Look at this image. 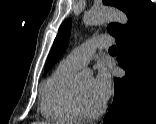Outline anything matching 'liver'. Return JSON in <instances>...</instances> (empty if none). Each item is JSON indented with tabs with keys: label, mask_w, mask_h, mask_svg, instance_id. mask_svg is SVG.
<instances>
[{
	"label": "liver",
	"mask_w": 156,
	"mask_h": 124,
	"mask_svg": "<svg viewBox=\"0 0 156 124\" xmlns=\"http://www.w3.org/2000/svg\"><path fill=\"white\" fill-rule=\"evenodd\" d=\"M33 124H46L44 122H34Z\"/></svg>",
	"instance_id": "1"
}]
</instances>
